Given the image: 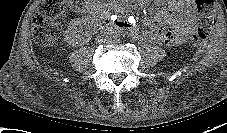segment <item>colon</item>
Wrapping results in <instances>:
<instances>
[{"label": "colon", "instance_id": "obj_1", "mask_svg": "<svg viewBox=\"0 0 227 133\" xmlns=\"http://www.w3.org/2000/svg\"><path fill=\"white\" fill-rule=\"evenodd\" d=\"M199 12L198 29L194 44L204 42L215 25L214 0H195ZM90 5L86 0H43L32 19L33 38L42 46L53 45L62 29V20L70 9L85 10Z\"/></svg>", "mask_w": 227, "mask_h": 133}]
</instances>
